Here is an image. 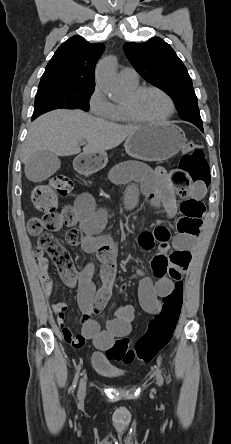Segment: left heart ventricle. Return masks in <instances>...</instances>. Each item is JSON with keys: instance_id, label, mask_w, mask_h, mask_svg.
<instances>
[{"instance_id": "b2bd125f", "label": "left heart ventricle", "mask_w": 231, "mask_h": 444, "mask_svg": "<svg viewBox=\"0 0 231 444\" xmlns=\"http://www.w3.org/2000/svg\"><path fill=\"white\" fill-rule=\"evenodd\" d=\"M135 109L143 119L159 120L168 114L170 107L162 94L156 91H146L135 102Z\"/></svg>"}]
</instances>
